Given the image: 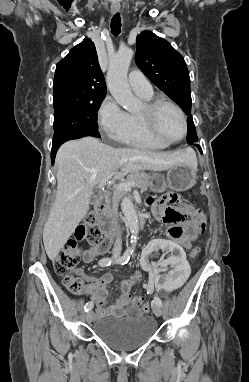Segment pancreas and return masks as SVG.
<instances>
[{
	"label": "pancreas",
	"mask_w": 249,
	"mask_h": 382,
	"mask_svg": "<svg viewBox=\"0 0 249 382\" xmlns=\"http://www.w3.org/2000/svg\"><path fill=\"white\" fill-rule=\"evenodd\" d=\"M135 181V185L138 188H141L142 190H147L148 188L152 187L153 183L151 181V177L145 173V172H132L130 173L125 182H131ZM127 195V192L124 190H119L117 188L113 189L112 197H111V203L113 206V210H116L118 207V203L120 200Z\"/></svg>",
	"instance_id": "obj_1"
}]
</instances>
